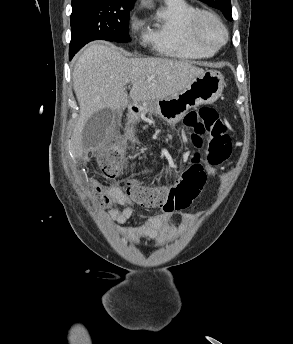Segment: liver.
<instances>
[{"label": "liver", "mask_w": 293, "mask_h": 344, "mask_svg": "<svg viewBox=\"0 0 293 344\" xmlns=\"http://www.w3.org/2000/svg\"><path fill=\"white\" fill-rule=\"evenodd\" d=\"M203 72L188 61L127 58L116 47L91 44L81 53L73 71L80 117L69 144L72 154L82 156V131L92 114L128 105L127 83H132L130 98L137 104L176 95Z\"/></svg>", "instance_id": "1"}]
</instances>
